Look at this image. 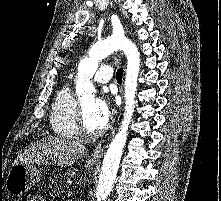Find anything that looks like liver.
Returning a JSON list of instances; mask_svg holds the SVG:
<instances>
[{
    "mask_svg": "<svg viewBox=\"0 0 221 201\" xmlns=\"http://www.w3.org/2000/svg\"><path fill=\"white\" fill-rule=\"evenodd\" d=\"M87 148L66 137L47 136L34 142L17 156L14 163L71 166L87 154Z\"/></svg>",
    "mask_w": 221,
    "mask_h": 201,
    "instance_id": "6515ba94",
    "label": "liver"
}]
</instances>
